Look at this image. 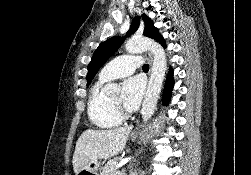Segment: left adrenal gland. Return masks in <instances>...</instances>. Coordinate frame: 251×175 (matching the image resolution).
Masks as SVG:
<instances>
[{
	"label": "left adrenal gland",
	"mask_w": 251,
	"mask_h": 175,
	"mask_svg": "<svg viewBox=\"0 0 251 175\" xmlns=\"http://www.w3.org/2000/svg\"><path fill=\"white\" fill-rule=\"evenodd\" d=\"M132 175H138L137 169H134V171H131Z\"/></svg>",
	"instance_id": "left-adrenal-gland-1"
}]
</instances>
